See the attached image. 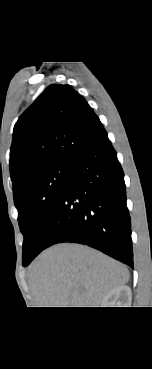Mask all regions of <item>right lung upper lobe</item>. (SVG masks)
<instances>
[{"mask_svg":"<svg viewBox=\"0 0 152 369\" xmlns=\"http://www.w3.org/2000/svg\"><path fill=\"white\" fill-rule=\"evenodd\" d=\"M104 132L93 109L70 85L47 87L19 117L13 130V193L29 174L56 163H70Z\"/></svg>","mask_w":152,"mask_h":369,"instance_id":"obj_1","label":"right lung upper lobe"}]
</instances>
